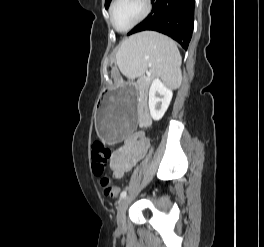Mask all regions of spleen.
Here are the masks:
<instances>
[{
  "label": "spleen",
  "mask_w": 264,
  "mask_h": 247,
  "mask_svg": "<svg viewBox=\"0 0 264 247\" xmlns=\"http://www.w3.org/2000/svg\"><path fill=\"white\" fill-rule=\"evenodd\" d=\"M120 71L129 79H140L150 68L172 87L182 81L181 56L175 42L153 31L136 34L126 40L117 52Z\"/></svg>",
  "instance_id": "3e777b00"
}]
</instances>
